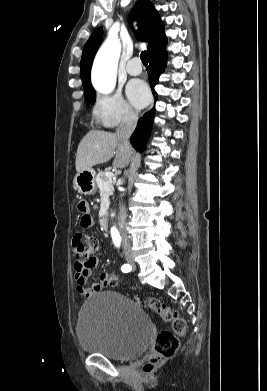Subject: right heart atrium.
<instances>
[{
  "label": "right heart atrium",
  "instance_id": "right-heart-atrium-1",
  "mask_svg": "<svg viewBox=\"0 0 267 391\" xmlns=\"http://www.w3.org/2000/svg\"><path fill=\"white\" fill-rule=\"evenodd\" d=\"M92 116L98 125L108 129L130 125L137 120L136 110L120 93L99 95L94 102Z\"/></svg>",
  "mask_w": 267,
  "mask_h": 391
}]
</instances>
